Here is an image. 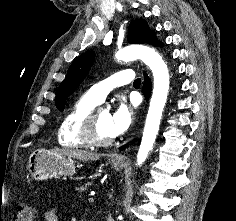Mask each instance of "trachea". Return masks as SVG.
I'll list each match as a JSON object with an SVG mask.
<instances>
[{
  "mask_svg": "<svg viewBox=\"0 0 236 221\" xmlns=\"http://www.w3.org/2000/svg\"><path fill=\"white\" fill-rule=\"evenodd\" d=\"M133 84L136 85V86L140 85L141 84V79L140 78L136 79Z\"/></svg>",
  "mask_w": 236,
  "mask_h": 221,
  "instance_id": "3493384b",
  "label": "trachea"
}]
</instances>
